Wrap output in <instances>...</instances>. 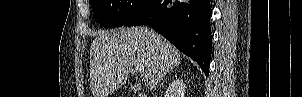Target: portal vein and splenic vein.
<instances>
[{
    "mask_svg": "<svg viewBox=\"0 0 302 97\" xmlns=\"http://www.w3.org/2000/svg\"><path fill=\"white\" fill-rule=\"evenodd\" d=\"M135 70L137 73H144V66L143 65H140V64H137L136 67H135Z\"/></svg>",
    "mask_w": 302,
    "mask_h": 97,
    "instance_id": "obj_1",
    "label": "portal vein and splenic vein"
}]
</instances>
